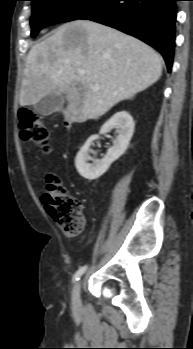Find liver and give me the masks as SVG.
Returning a JSON list of instances; mask_svg holds the SVG:
<instances>
[{
    "instance_id": "6515ba94",
    "label": "liver",
    "mask_w": 193,
    "mask_h": 349,
    "mask_svg": "<svg viewBox=\"0 0 193 349\" xmlns=\"http://www.w3.org/2000/svg\"><path fill=\"white\" fill-rule=\"evenodd\" d=\"M162 65L157 52L132 36L92 21H72L30 49L20 105L65 94L68 105L62 113L66 121L98 119L157 82Z\"/></svg>"
}]
</instances>
